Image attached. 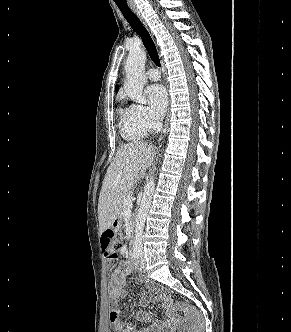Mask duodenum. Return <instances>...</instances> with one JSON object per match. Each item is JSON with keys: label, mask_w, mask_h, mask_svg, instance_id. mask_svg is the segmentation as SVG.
<instances>
[{"label": "duodenum", "mask_w": 291, "mask_h": 332, "mask_svg": "<svg viewBox=\"0 0 291 332\" xmlns=\"http://www.w3.org/2000/svg\"><path fill=\"white\" fill-rule=\"evenodd\" d=\"M133 226H134V223H133ZM133 254H134V251H133V247L131 246L129 249V255L132 257Z\"/></svg>", "instance_id": "obj_1"}]
</instances>
